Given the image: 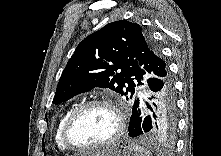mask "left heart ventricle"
<instances>
[{"mask_svg":"<svg viewBox=\"0 0 221 156\" xmlns=\"http://www.w3.org/2000/svg\"><path fill=\"white\" fill-rule=\"evenodd\" d=\"M116 120L106 107H91L74 122L70 137L78 145H95L108 139L114 132Z\"/></svg>","mask_w":221,"mask_h":156,"instance_id":"left-heart-ventricle-1","label":"left heart ventricle"}]
</instances>
